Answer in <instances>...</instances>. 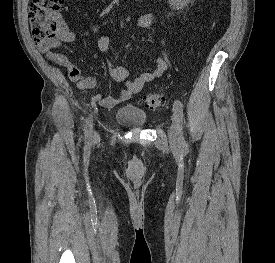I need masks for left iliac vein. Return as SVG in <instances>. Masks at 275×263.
Here are the masks:
<instances>
[{
    "instance_id": "1",
    "label": "left iliac vein",
    "mask_w": 275,
    "mask_h": 263,
    "mask_svg": "<svg viewBox=\"0 0 275 263\" xmlns=\"http://www.w3.org/2000/svg\"><path fill=\"white\" fill-rule=\"evenodd\" d=\"M179 121H178V118H177V115L174 114L173 116V122H172V125L169 129V141L171 144H177L179 142V136H180V133H179Z\"/></svg>"
}]
</instances>
